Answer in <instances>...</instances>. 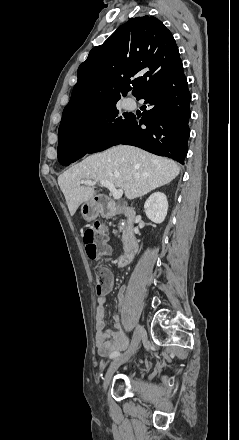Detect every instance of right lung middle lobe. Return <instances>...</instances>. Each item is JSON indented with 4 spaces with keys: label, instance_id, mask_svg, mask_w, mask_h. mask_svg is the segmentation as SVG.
<instances>
[{
    "label": "right lung middle lobe",
    "instance_id": "obj_1",
    "mask_svg": "<svg viewBox=\"0 0 239 440\" xmlns=\"http://www.w3.org/2000/svg\"><path fill=\"white\" fill-rule=\"evenodd\" d=\"M114 99L104 107L60 123L58 150L62 147L90 145L99 137L124 124L132 113L119 114ZM124 117V119H123Z\"/></svg>",
    "mask_w": 239,
    "mask_h": 440
}]
</instances>
